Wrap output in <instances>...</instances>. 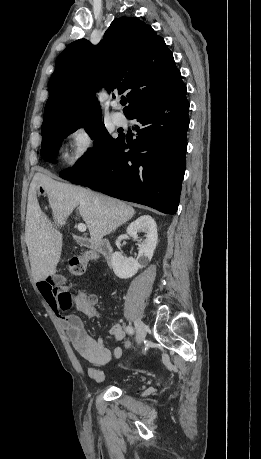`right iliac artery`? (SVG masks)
Here are the masks:
<instances>
[{
    "mask_svg": "<svg viewBox=\"0 0 261 459\" xmlns=\"http://www.w3.org/2000/svg\"><path fill=\"white\" fill-rule=\"evenodd\" d=\"M126 332H127L128 334H134L135 331H134V329H133L132 326H127V327H126Z\"/></svg>",
    "mask_w": 261,
    "mask_h": 459,
    "instance_id": "82829eb1",
    "label": "right iliac artery"
}]
</instances>
